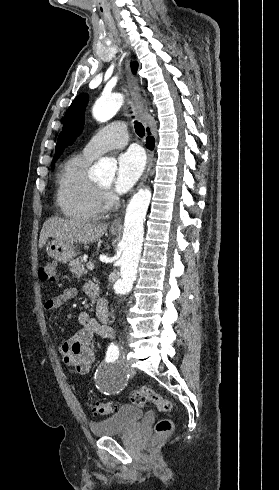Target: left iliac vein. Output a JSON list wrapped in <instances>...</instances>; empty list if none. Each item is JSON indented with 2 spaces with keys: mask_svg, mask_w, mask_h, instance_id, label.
<instances>
[{
  "mask_svg": "<svg viewBox=\"0 0 279 490\" xmlns=\"http://www.w3.org/2000/svg\"><path fill=\"white\" fill-rule=\"evenodd\" d=\"M131 363H132V360H131L130 358H127V359L125 360V366H126V367H129Z\"/></svg>",
  "mask_w": 279,
  "mask_h": 490,
  "instance_id": "obj_1",
  "label": "left iliac vein"
}]
</instances>
